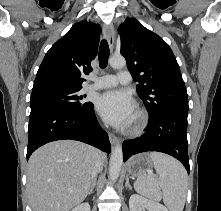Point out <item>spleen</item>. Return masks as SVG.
I'll return each mask as SVG.
<instances>
[{
  "label": "spleen",
  "mask_w": 221,
  "mask_h": 211,
  "mask_svg": "<svg viewBox=\"0 0 221 211\" xmlns=\"http://www.w3.org/2000/svg\"><path fill=\"white\" fill-rule=\"evenodd\" d=\"M159 177L138 176L134 188L155 201L163 199L169 211H183L187 194V172L180 162L163 153L149 154Z\"/></svg>",
  "instance_id": "1"
}]
</instances>
